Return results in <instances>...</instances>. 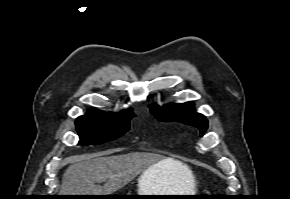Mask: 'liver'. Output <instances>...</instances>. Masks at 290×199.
<instances>
[{
    "label": "liver",
    "instance_id": "liver-1",
    "mask_svg": "<svg viewBox=\"0 0 290 199\" xmlns=\"http://www.w3.org/2000/svg\"><path fill=\"white\" fill-rule=\"evenodd\" d=\"M157 165L158 172L171 177L172 193H193L194 177L188 166L173 158L151 153L95 157L70 165L62 179L61 195H111L138 174ZM104 181V185H97Z\"/></svg>",
    "mask_w": 290,
    "mask_h": 199
}]
</instances>
